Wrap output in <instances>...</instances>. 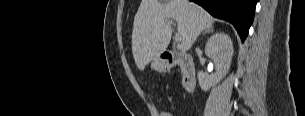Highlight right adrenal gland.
<instances>
[{
  "instance_id": "1",
  "label": "right adrenal gland",
  "mask_w": 305,
  "mask_h": 116,
  "mask_svg": "<svg viewBox=\"0 0 305 116\" xmlns=\"http://www.w3.org/2000/svg\"><path fill=\"white\" fill-rule=\"evenodd\" d=\"M213 32V28H208V29H205L203 32H202V35L206 34V33H212Z\"/></svg>"
}]
</instances>
